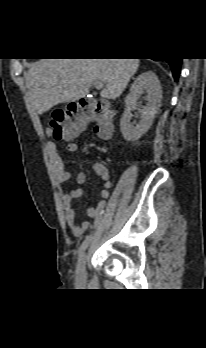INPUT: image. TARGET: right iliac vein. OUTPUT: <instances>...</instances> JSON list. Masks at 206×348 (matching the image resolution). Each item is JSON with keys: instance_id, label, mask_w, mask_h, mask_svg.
I'll use <instances>...</instances> for the list:
<instances>
[{"instance_id": "obj_1", "label": "right iliac vein", "mask_w": 206, "mask_h": 348, "mask_svg": "<svg viewBox=\"0 0 206 348\" xmlns=\"http://www.w3.org/2000/svg\"><path fill=\"white\" fill-rule=\"evenodd\" d=\"M87 254L82 255L76 267V279L78 282H84L86 279Z\"/></svg>"}]
</instances>
